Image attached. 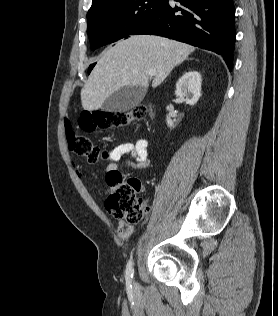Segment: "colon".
<instances>
[{"label": "colon", "mask_w": 278, "mask_h": 316, "mask_svg": "<svg viewBox=\"0 0 278 316\" xmlns=\"http://www.w3.org/2000/svg\"><path fill=\"white\" fill-rule=\"evenodd\" d=\"M145 114L144 106L127 112L85 111L78 119V126L84 132L118 128L142 119ZM66 137L69 149L75 154L86 157L90 162L107 159V152L96 146L87 136L77 134L70 123L66 124ZM106 182L109 187L105 201L108 212L127 224L140 222L148 212L145 202L138 196L140 181L135 178L124 180L119 172L113 171L107 173Z\"/></svg>", "instance_id": "1"}]
</instances>
